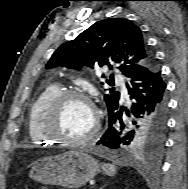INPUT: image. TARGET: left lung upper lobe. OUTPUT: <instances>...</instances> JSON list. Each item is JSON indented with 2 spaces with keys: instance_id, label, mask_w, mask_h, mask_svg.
<instances>
[{
  "instance_id": "1",
  "label": "left lung upper lobe",
  "mask_w": 188,
  "mask_h": 189,
  "mask_svg": "<svg viewBox=\"0 0 188 189\" xmlns=\"http://www.w3.org/2000/svg\"><path fill=\"white\" fill-rule=\"evenodd\" d=\"M141 30L132 22L119 18H109L96 22L76 39L62 44L48 61L46 68L65 66L80 69L82 66L108 65L118 63L124 75L153 60ZM113 82V76L107 80ZM120 93L110 90L104 96L108 111L119 105ZM165 125L139 126L131 136L127 148L145 146L152 152H159L163 144Z\"/></svg>"
}]
</instances>
